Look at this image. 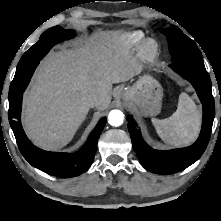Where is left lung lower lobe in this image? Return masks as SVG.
I'll use <instances>...</instances> for the list:
<instances>
[{"label":"left lung lower lobe","instance_id":"1","mask_svg":"<svg viewBox=\"0 0 221 221\" xmlns=\"http://www.w3.org/2000/svg\"><path fill=\"white\" fill-rule=\"evenodd\" d=\"M170 66L185 79L189 80L196 89L203 105V123L199 138L190 147L159 151L150 148L142 140L141 133L136 127V122L131 116H128V131L138 159L145 168L158 174L179 172L201 157L207 147L215 116L212 85L206 69L182 62H172Z\"/></svg>","mask_w":221,"mask_h":221}]
</instances>
